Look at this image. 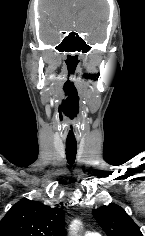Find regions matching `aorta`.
<instances>
[{
    "mask_svg": "<svg viewBox=\"0 0 145 236\" xmlns=\"http://www.w3.org/2000/svg\"><path fill=\"white\" fill-rule=\"evenodd\" d=\"M80 221L79 220H74L71 225H70V229H71V232H72V235L73 236H77V231L79 229V226H80Z\"/></svg>",
    "mask_w": 145,
    "mask_h": 236,
    "instance_id": "obj_1",
    "label": "aorta"
}]
</instances>
